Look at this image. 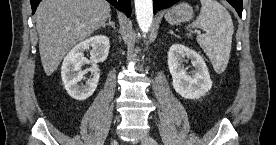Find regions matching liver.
<instances>
[{
  "mask_svg": "<svg viewBox=\"0 0 276 145\" xmlns=\"http://www.w3.org/2000/svg\"><path fill=\"white\" fill-rule=\"evenodd\" d=\"M105 0H42L35 13L39 52L47 76L66 53L105 24L110 15Z\"/></svg>",
  "mask_w": 276,
  "mask_h": 145,
  "instance_id": "obj_1",
  "label": "liver"
}]
</instances>
